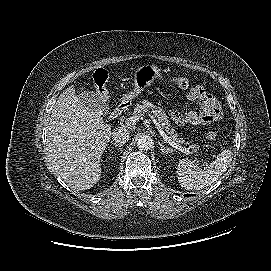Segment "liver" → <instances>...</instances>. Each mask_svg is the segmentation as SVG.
<instances>
[{
    "mask_svg": "<svg viewBox=\"0 0 271 271\" xmlns=\"http://www.w3.org/2000/svg\"><path fill=\"white\" fill-rule=\"evenodd\" d=\"M111 128L79 99L73 85L60 94L50 117L47 149L54 172L68 186L86 190L98 182Z\"/></svg>",
    "mask_w": 271,
    "mask_h": 271,
    "instance_id": "6515ba94",
    "label": "liver"
}]
</instances>
